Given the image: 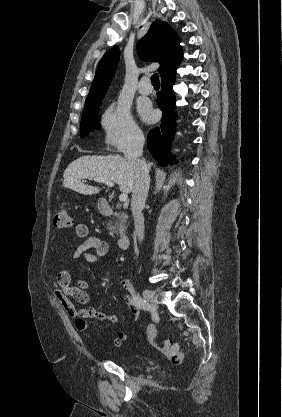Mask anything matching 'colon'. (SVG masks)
I'll use <instances>...</instances> for the list:
<instances>
[{
	"label": "colon",
	"instance_id": "obj_1",
	"mask_svg": "<svg viewBox=\"0 0 282 417\" xmlns=\"http://www.w3.org/2000/svg\"><path fill=\"white\" fill-rule=\"evenodd\" d=\"M53 224L55 227L64 229L72 224L70 210L64 204L58 205L53 213ZM158 329L156 325L150 324L147 328L148 343L162 353L169 363L179 365L183 363L184 352L180 344L166 340L162 345L156 342Z\"/></svg>",
	"mask_w": 282,
	"mask_h": 417
}]
</instances>
